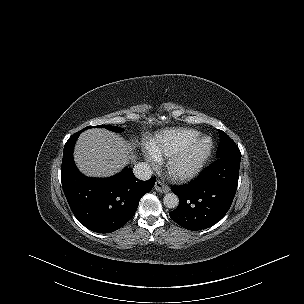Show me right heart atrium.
I'll return each mask as SVG.
<instances>
[{
	"label": "right heart atrium",
	"mask_w": 304,
	"mask_h": 304,
	"mask_svg": "<svg viewBox=\"0 0 304 304\" xmlns=\"http://www.w3.org/2000/svg\"><path fill=\"white\" fill-rule=\"evenodd\" d=\"M150 152H151V150H150ZM151 154H152V157H151L152 159H151V160H152L153 162H155L156 159L158 158V156L154 155L152 152H151Z\"/></svg>",
	"instance_id": "d8ad5b80"
}]
</instances>
